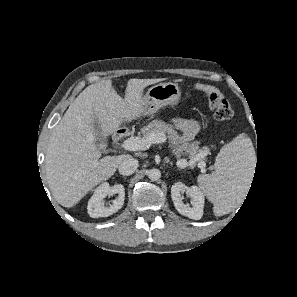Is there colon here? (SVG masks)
I'll use <instances>...</instances> for the list:
<instances>
[{
    "label": "colon",
    "instance_id": "5ec220e1",
    "mask_svg": "<svg viewBox=\"0 0 297 297\" xmlns=\"http://www.w3.org/2000/svg\"><path fill=\"white\" fill-rule=\"evenodd\" d=\"M196 90L206 93L209 107L213 110L214 116L217 120L226 121L233 117L234 111L230 103L218 90L208 85H197Z\"/></svg>",
    "mask_w": 297,
    "mask_h": 297
}]
</instances>
